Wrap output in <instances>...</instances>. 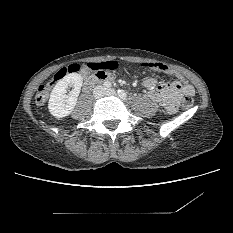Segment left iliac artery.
I'll list each match as a JSON object with an SVG mask.
<instances>
[{"label": "left iliac artery", "mask_w": 233, "mask_h": 233, "mask_svg": "<svg viewBox=\"0 0 233 233\" xmlns=\"http://www.w3.org/2000/svg\"><path fill=\"white\" fill-rule=\"evenodd\" d=\"M118 95L122 99H126V93L124 90H118Z\"/></svg>", "instance_id": "1"}]
</instances>
